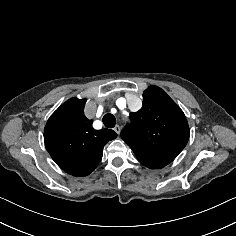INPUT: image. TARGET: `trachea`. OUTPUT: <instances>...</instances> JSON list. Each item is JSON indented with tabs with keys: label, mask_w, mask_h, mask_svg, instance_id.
I'll return each mask as SVG.
<instances>
[{
	"label": "trachea",
	"mask_w": 236,
	"mask_h": 236,
	"mask_svg": "<svg viewBox=\"0 0 236 236\" xmlns=\"http://www.w3.org/2000/svg\"><path fill=\"white\" fill-rule=\"evenodd\" d=\"M102 121L107 128H113L116 124L115 117L110 113L105 114Z\"/></svg>",
	"instance_id": "1"
}]
</instances>
